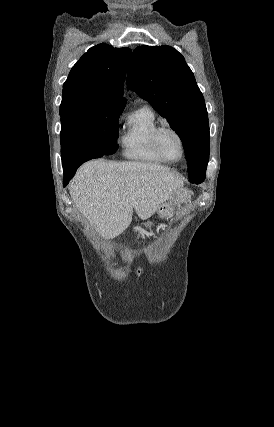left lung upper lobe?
<instances>
[{
  "instance_id": "5c2ea615",
  "label": "left lung upper lobe",
  "mask_w": 274,
  "mask_h": 427,
  "mask_svg": "<svg viewBox=\"0 0 274 427\" xmlns=\"http://www.w3.org/2000/svg\"><path fill=\"white\" fill-rule=\"evenodd\" d=\"M128 85L166 118L185 149L188 174L205 176L209 123L204 98L184 57L170 46H138L128 66Z\"/></svg>"
}]
</instances>
